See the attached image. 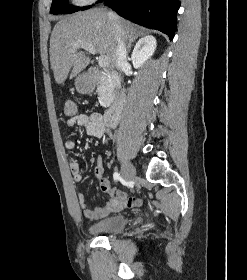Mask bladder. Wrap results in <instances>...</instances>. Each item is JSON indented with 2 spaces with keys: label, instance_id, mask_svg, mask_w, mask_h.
<instances>
[{
  "label": "bladder",
  "instance_id": "31cf9c89",
  "mask_svg": "<svg viewBox=\"0 0 247 280\" xmlns=\"http://www.w3.org/2000/svg\"><path fill=\"white\" fill-rule=\"evenodd\" d=\"M127 224L124 216H113L98 222H95L88 227V231L94 235H109L122 231Z\"/></svg>",
  "mask_w": 247,
  "mask_h": 280
}]
</instances>
